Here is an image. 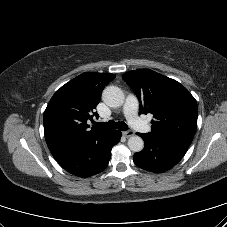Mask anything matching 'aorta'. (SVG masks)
<instances>
[{
    "mask_svg": "<svg viewBox=\"0 0 227 227\" xmlns=\"http://www.w3.org/2000/svg\"><path fill=\"white\" fill-rule=\"evenodd\" d=\"M102 99L106 105L117 108L123 105L125 96L123 91L116 86H108L102 93ZM128 147L132 152H140L144 148V141L135 135L128 139Z\"/></svg>",
    "mask_w": 227,
    "mask_h": 227,
    "instance_id": "aorta-1",
    "label": "aorta"
}]
</instances>
